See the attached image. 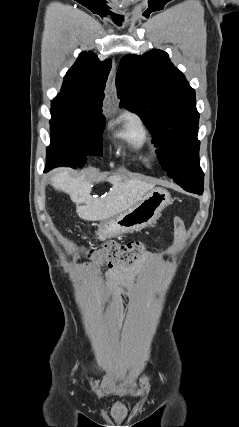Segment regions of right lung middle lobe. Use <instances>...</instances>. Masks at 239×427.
<instances>
[{
    "label": "right lung middle lobe",
    "mask_w": 239,
    "mask_h": 427,
    "mask_svg": "<svg viewBox=\"0 0 239 427\" xmlns=\"http://www.w3.org/2000/svg\"><path fill=\"white\" fill-rule=\"evenodd\" d=\"M104 128L105 117L101 112L52 105L46 170L58 166L82 167L87 155L102 156Z\"/></svg>",
    "instance_id": "dd1d6c3e"
}]
</instances>
